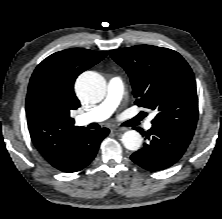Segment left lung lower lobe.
<instances>
[{"instance_id": "left-lung-lower-lobe-1", "label": "left lung lower lobe", "mask_w": 222, "mask_h": 219, "mask_svg": "<svg viewBox=\"0 0 222 219\" xmlns=\"http://www.w3.org/2000/svg\"><path fill=\"white\" fill-rule=\"evenodd\" d=\"M138 131H142L137 128ZM147 143L131 155V160L149 171H159L175 164L186 151L191 137L165 126H155L146 133Z\"/></svg>"}]
</instances>
